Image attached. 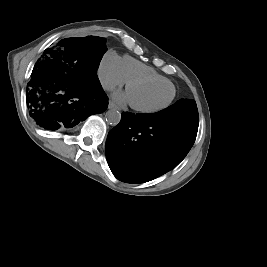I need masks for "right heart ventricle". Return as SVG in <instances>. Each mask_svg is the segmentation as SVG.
<instances>
[{
    "mask_svg": "<svg viewBox=\"0 0 267 267\" xmlns=\"http://www.w3.org/2000/svg\"><path fill=\"white\" fill-rule=\"evenodd\" d=\"M121 66L126 81L138 77H149L159 81H163L165 83H170V81L165 76L158 73L152 67L142 62H139L129 56H124L122 58Z\"/></svg>",
    "mask_w": 267,
    "mask_h": 267,
    "instance_id": "obj_1",
    "label": "right heart ventricle"
}]
</instances>
